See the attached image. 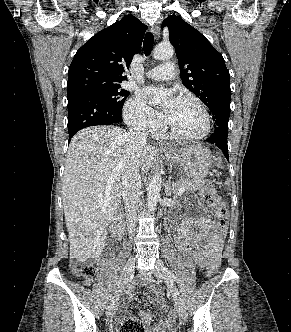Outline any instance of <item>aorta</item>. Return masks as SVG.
Wrapping results in <instances>:
<instances>
[{
	"label": "aorta",
	"mask_w": 291,
	"mask_h": 332,
	"mask_svg": "<svg viewBox=\"0 0 291 332\" xmlns=\"http://www.w3.org/2000/svg\"><path fill=\"white\" fill-rule=\"evenodd\" d=\"M174 55V48L171 44H159L153 51V57L159 60L171 59ZM160 99L154 98L153 104H158ZM162 186V177L156 173L147 188V206L148 209L153 212L156 210L157 202L160 198V191Z\"/></svg>",
	"instance_id": "aorta-1"
}]
</instances>
